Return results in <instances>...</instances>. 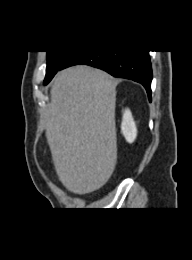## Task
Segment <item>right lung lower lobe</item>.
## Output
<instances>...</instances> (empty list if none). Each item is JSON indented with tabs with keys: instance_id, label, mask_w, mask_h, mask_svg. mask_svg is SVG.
Wrapping results in <instances>:
<instances>
[{
	"instance_id": "98d812e1",
	"label": "right lung lower lobe",
	"mask_w": 192,
	"mask_h": 260,
	"mask_svg": "<svg viewBox=\"0 0 192 260\" xmlns=\"http://www.w3.org/2000/svg\"><path fill=\"white\" fill-rule=\"evenodd\" d=\"M148 52L145 50L75 52L64 63L62 69L85 64L105 70L114 77L131 79L145 87L151 101L152 68Z\"/></svg>"
}]
</instances>
